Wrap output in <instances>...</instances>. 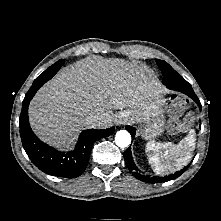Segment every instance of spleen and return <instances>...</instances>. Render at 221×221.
<instances>
[{
    "instance_id": "1",
    "label": "spleen",
    "mask_w": 221,
    "mask_h": 221,
    "mask_svg": "<svg viewBox=\"0 0 221 221\" xmlns=\"http://www.w3.org/2000/svg\"><path fill=\"white\" fill-rule=\"evenodd\" d=\"M195 131L189 134L179 143H161L151 140L145 146L148 161L157 174L177 171L186 166L192 158L195 149Z\"/></svg>"
}]
</instances>
